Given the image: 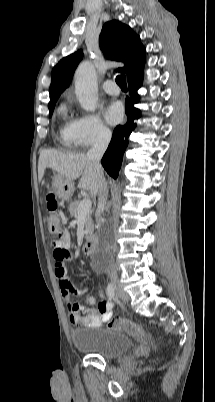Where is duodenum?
Returning <instances> with one entry per match:
<instances>
[{
    "label": "duodenum",
    "instance_id": "410a0bca",
    "mask_svg": "<svg viewBox=\"0 0 215 402\" xmlns=\"http://www.w3.org/2000/svg\"><path fill=\"white\" fill-rule=\"evenodd\" d=\"M97 242L95 239H89L83 246V251L86 256H91L95 253Z\"/></svg>",
    "mask_w": 215,
    "mask_h": 402
}]
</instances>
